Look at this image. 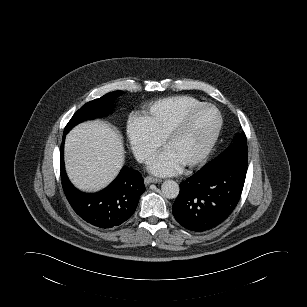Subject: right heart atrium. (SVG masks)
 <instances>
[{
    "instance_id": "d8ad5b80",
    "label": "right heart atrium",
    "mask_w": 307,
    "mask_h": 307,
    "mask_svg": "<svg viewBox=\"0 0 307 307\" xmlns=\"http://www.w3.org/2000/svg\"><path fill=\"white\" fill-rule=\"evenodd\" d=\"M126 135L133 154L141 162H148L161 145V140L150 131L142 117L128 120Z\"/></svg>"
}]
</instances>
